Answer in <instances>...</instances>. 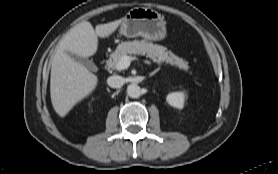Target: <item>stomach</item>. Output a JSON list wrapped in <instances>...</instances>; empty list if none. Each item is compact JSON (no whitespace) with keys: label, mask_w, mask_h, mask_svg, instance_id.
Masks as SVG:
<instances>
[{"label":"stomach","mask_w":278,"mask_h":174,"mask_svg":"<svg viewBox=\"0 0 278 174\" xmlns=\"http://www.w3.org/2000/svg\"><path fill=\"white\" fill-rule=\"evenodd\" d=\"M120 33L128 38L141 36L149 41H160L166 36V22L154 9L135 7L123 18Z\"/></svg>","instance_id":"1"}]
</instances>
